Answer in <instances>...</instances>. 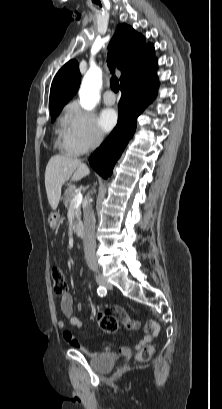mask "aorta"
Here are the masks:
<instances>
[{"instance_id":"aorta-1","label":"aorta","mask_w":222,"mask_h":409,"mask_svg":"<svg viewBox=\"0 0 222 409\" xmlns=\"http://www.w3.org/2000/svg\"><path fill=\"white\" fill-rule=\"evenodd\" d=\"M102 86V71L98 67H91L85 74L79 90L80 105L91 111L100 100L99 91Z\"/></svg>"}]
</instances>
